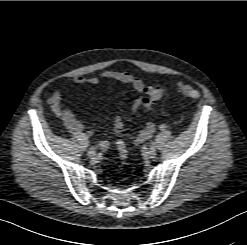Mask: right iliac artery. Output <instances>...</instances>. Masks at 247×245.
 Segmentation results:
<instances>
[{"label":"right iliac artery","mask_w":247,"mask_h":245,"mask_svg":"<svg viewBox=\"0 0 247 245\" xmlns=\"http://www.w3.org/2000/svg\"><path fill=\"white\" fill-rule=\"evenodd\" d=\"M90 150L95 151V148L94 147H91Z\"/></svg>","instance_id":"1"}]
</instances>
